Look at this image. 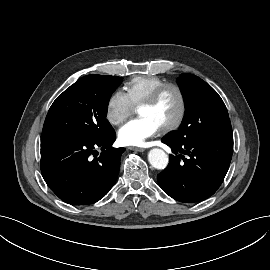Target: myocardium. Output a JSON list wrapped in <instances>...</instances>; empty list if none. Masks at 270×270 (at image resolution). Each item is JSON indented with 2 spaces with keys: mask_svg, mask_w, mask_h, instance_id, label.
<instances>
[{
  "mask_svg": "<svg viewBox=\"0 0 270 270\" xmlns=\"http://www.w3.org/2000/svg\"><path fill=\"white\" fill-rule=\"evenodd\" d=\"M167 89H173L176 91L179 99V109L174 121L160 129L163 133L171 132L178 129L185 119L187 111V101L182 87L176 83L165 82L156 87L152 91V93L140 104V106L155 104L159 100L161 95L164 93V91H166Z\"/></svg>",
  "mask_w": 270,
  "mask_h": 270,
  "instance_id": "1",
  "label": "myocardium"
}]
</instances>
